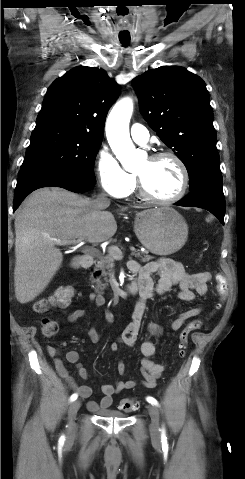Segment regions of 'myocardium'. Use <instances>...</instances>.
Listing matches in <instances>:
<instances>
[{
    "label": "myocardium",
    "instance_id": "1",
    "mask_svg": "<svg viewBox=\"0 0 245 479\" xmlns=\"http://www.w3.org/2000/svg\"><path fill=\"white\" fill-rule=\"evenodd\" d=\"M163 158L172 159L178 165V167L180 169L181 183H180V187H179L177 193L175 195H173L172 197L167 198V199H160V198L154 197L153 195H151L148 192L142 176L138 173L135 174L136 190H137L138 195L147 202L157 204V205H170V204H173V203L177 202L178 200H180L185 195V193L188 189V186H189V172H188V168H187L186 164L184 163V161L182 160V158L179 155H177L176 153L172 152V151H167V150L159 151V152L152 153L148 157V159L150 161H156V160L163 159Z\"/></svg>",
    "mask_w": 245,
    "mask_h": 479
}]
</instances>
